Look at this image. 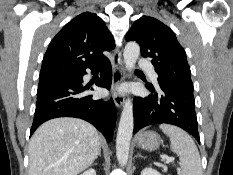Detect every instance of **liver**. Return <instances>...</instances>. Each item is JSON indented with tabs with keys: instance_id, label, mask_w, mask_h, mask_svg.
Masks as SVG:
<instances>
[{
	"instance_id": "1",
	"label": "liver",
	"mask_w": 233,
	"mask_h": 175,
	"mask_svg": "<svg viewBox=\"0 0 233 175\" xmlns=\"http://www.w3.org/2000/svg\"><path fill=\"white\" fill-rule=\"evenodd\" d=\"M100 138L90 123L71 117L51 119L33 134L29 175H78L98 156Z\"/></svg>"
}]
</instances>
